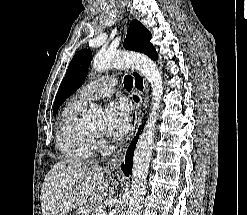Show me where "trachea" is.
<instances>
[{"mask_svg": "<svg viewBox=\"0 0 247 215\" xmlns=\"http://www.w3.org/2000/svg\"><path fill=\"white\" fill-rule=\"evenodd\" d=\"M124 87L130 91L133 87V78L130 75L124 77Z\"/></svg>", "mask_w": 247, "mask_h": 215, "instance_id": "obj_1", "label": "trachea"}]
</instances>
